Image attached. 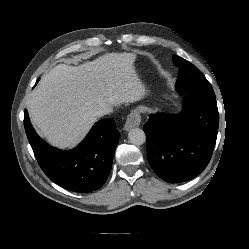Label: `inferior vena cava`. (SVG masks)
I'll return each mask as SVG.
<instances>
[{
    "label": "inferior vena cava",
    "mask_w": 249,
    "mask_h": 249,
    "mask_svg": "<svg viewBox=\"0 0 249 249\" xmlns=\"http://www.w3.org/2000/svg\"><path fill=\"white\" fill-rule=\"evenodd\" d=\"M112 111H113V109L111 106H105V107L101 108L99 111H97L96 115L103 116V115L111 113Z\"/></svg>",
    "instance_id": "obj_1"
}]
</instances>
